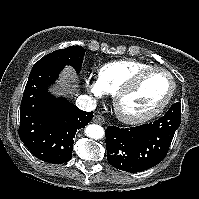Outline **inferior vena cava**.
I'll return each instance as SVG.
<instances>
[{"mask_svg": "<svg viewBox=\"0 0 199 199\" xmlns=\"http://www.w3.org/2000/svg\"><path fill=\"white\" fill-rule=\"evenodd\" d=\"M76 106L83 111H93L96 109V100L87 95H81L76 100Z\"/></svg>", "mask_w": 199, "mask_h": 199, "instance_id": "inferior-vena-cava-1", "label": "inferior vena cava"}]
</instances>
